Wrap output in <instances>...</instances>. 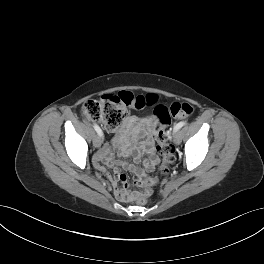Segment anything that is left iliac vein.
<instances>
[{
    "mask_svg": "<svg viewBox=\"0 0 264 264\" xmlns=\"http://www.w3.org/2000/svg\"><path fill=\"white\" fill-rule=\"evenodd\" d=\"M173 140H174L175 144H180V142H181V134H180V132L178 130L174 131Z\"/></svg>",
    "mask_w": 264,
    "mask_h": 264,
    "instance_id": "left-iliac-vein-1",
    "label": "left iliac vein"
}]
</instances>
